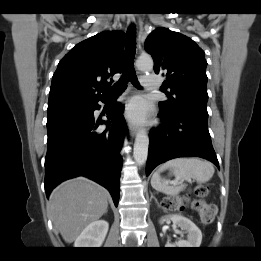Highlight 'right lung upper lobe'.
Segmentation results:
<instances>
[{"instance_id": "1", "label": "right lung upper lobe", "mask_w": 261, "mask_h": 261, "mask_svg": "<svg viewBox=\"0 0 261 261\" xmlns=\"http://www.w3.org/2000/svg\"><path fill=\"white\" fill-rule=\"evenodd\" d=\"M124 39L122 31H103L75 45L58 64L49 101L106 97L107 79L122 71Z\"/></svg>"}]
</instances>
